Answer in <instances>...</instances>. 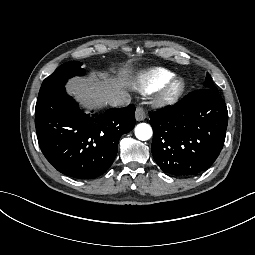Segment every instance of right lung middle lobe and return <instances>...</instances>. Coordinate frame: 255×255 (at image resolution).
<instances>
[{
  "label": "right lung middle lobe",
  "mask_w": 255,
  "mask_h": 255,
  "mask_svg": "<svg viewBox=\"0 0 255 255\" xmlns=\"http://www.w3.org/2000/svg\"><path fill=\"white\" fill-rule=\"evenodd\" d=\"M84 73L85 70L81 68V62L71 61L62 64L43 81L38 94V100L50 93L65 89L64 85L69 78L80 76Z\"/></svg>",
  "instance_id": "1"
}]
</instances>
